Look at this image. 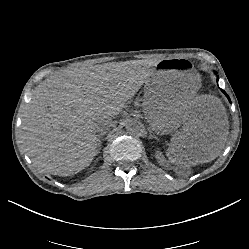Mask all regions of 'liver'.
Returning a JSON list of instances; mask_svg holds the SVG:
<instances>
[{"label": "liver", "instance_id": "6515ba94", "mask_svg": "<svg viewBox=\"0 0 249 249\" xmlns=\"http://www.w3.org/2000/svg\"><path fill=\"white\" fill-rule=\"evenodd\" d=\"M153 73L147 67L103 64L70 67L42 81L22 118V143L34 166L62 176L89 166L101 145L96 119L120 115ZM141 109L156 135L173 131L168 155L178 166L210 162L225 146L228 117L212 95L181 102L153 91L144 94Z\"/></svg>", "mask_w": 249, "mask_h": 249}]
</instances>
